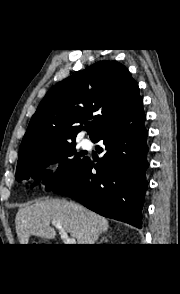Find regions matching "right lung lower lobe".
Returning a JSON list of instances; mask_svg holds the SVG:
<instances>
[{"instance_id": "obj_1", "label": "right lung lower lobe", "mask_w": 180, "mask_h": 294, "mask_svg": "<svg viewBox=\"0 0 180 294\" xmlns=\"http://www.w3.org/2000/svg\"><path fill=\"white\" fill-rule=\"evenodd\" d=\"M145 119L141 99L95 136L93 142H103L97 147L104 153L98 163L87 159L75 176L52 191L74 198L102 216L141 228L148 167Z\"/></svg>"}]
</instances>
